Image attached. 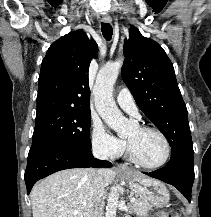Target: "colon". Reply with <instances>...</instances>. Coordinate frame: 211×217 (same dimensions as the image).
I'll list each match as a JSON object with an SVG mask.
<instances>
[{"instance_id":"obj_1","label":"colon","mask_w":211,"mask_h":217,"mask_svg":"<svg viewBox=\"0 0 211 217\" xmlns=\"http://www.w3.org/2000/svg\"><path fill=\"white\" fill-rule=\"evenodd\" d=\"M158 217H179L178 215L176 214H170V213H167V212H161Z\"/></svg>"}]
</instances>
